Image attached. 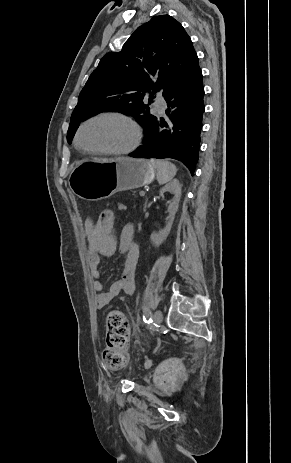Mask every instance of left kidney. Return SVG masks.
Wrapping results in <instances>:
<instances>
[{
  "instance_id": "1",
  "label": "left kidney",
  "mask_w": 291,
  "mask_h": 463,
  "mask_svg": "<svg viewBox=\"0 0 291 463\" xmlns=\"http://www.w3.org/2000/svg\"><path fill=\"white\" fill-rule=\"evenodd\" d=\"M165 192H170L171 194H173L174 199L169 203V206H168L169 220L165 228L160 230L158 233L156 232L152 233L150 236L151 242L156 247L160 246L164 242V240H166L167 236L169 235L174 218H175V214L178 210L179 201L181 197V184L179 180L174 179L170 183L166 184L160 190V196L164 197Z\"/></svg>"
}]
</instances>
